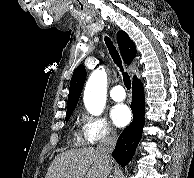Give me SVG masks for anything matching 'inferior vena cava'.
Returning a JSON list of instances; mask_svg holds the SVG:
<instances>
[{
  "label": "inferior vena cava",
  "mask_w": 194,
  "mask_h": 178,
  "mask_svg": "<svg viewBox=\"0 0 194 178\" xmlns=\"http://www.w3.org/2000/svg\"><path fill=\"white\" fill-rule=\"evenodd\" d=\"M116 141H117V134L112 130H108L106 135L102 137L97 147V150L101 158L107 163L111 161L110 154L112 153L115 147Z\"/></svg>",
  "instance_id": "602c4592"
}]
</instances>
